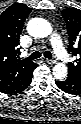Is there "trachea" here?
<instances>
[{
    "instance_id": "obj_1",
    "label": "trachea",
    "mask_w": 81,
    "mask_h": 124,
    "mask_svg": "<svg viewBox=\"0 0 81 124\" xmlns=\"http://www.w3.org/2000/svg\"><path fill=\"white\" fill-rule=\"evenodd\" d=\"M41 53L39 51H35L33 52L28 58H26L27 60H36L38 58H40ZM44 57L48 58V59H52V54L49 51H45L44 52Z\"/></svg>"
}]
</instances>
